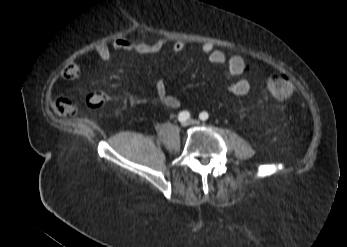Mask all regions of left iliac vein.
Returning <instances> with one entry per match:
<instances>
[{"label": "left iliac vein", "mask_w": 347, "mask_h": 247, "mask_svg": "<svg viewBox=\"0 0 347 247\" xmlns=\"http://www.w3.org/2000/svg\"><path fill=\"white\" fill-rule=\"evenodd\" d=\"M190 123H191V124H194V125H198V124H199V121H197V120H191Z\"/></svg>", "instance_id": "obj_1"}]
</instances>
